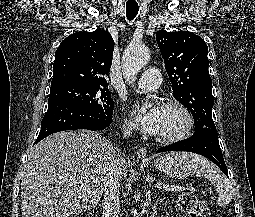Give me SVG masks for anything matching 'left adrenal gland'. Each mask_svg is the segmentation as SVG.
<instances>
[{
	"label": "left adrenal gland",
	"mask_w": 255,
	"mask_h": 217,
	"mask_svg": "<svg viewBox=\"0 0 255 217\" xmlns=\"http://www.w3.org/2000/svg\"><path fill=\"white\" fill-rule=\"evenodd\" d=\"M159 202V198L156 199V201L154 202V205L152 206V211H153V217L155 216V214L157 213V203ZM151 203V192L150 190H148V194H147V199H146V205L149 206Z\"/></svg>",
	"instance_id": "left-adrenal-gland-1"
}]
</instances>
